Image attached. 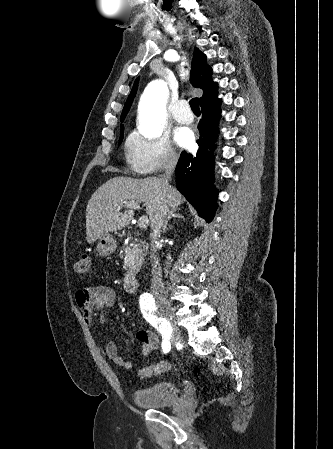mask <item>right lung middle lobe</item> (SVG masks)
Wrapping results in <instances>:
<instances>
[{
	"label": "right lung middle lobe",
	"mask_w": 333,
	"mask_h": 449,
	"mask_svg": "<svg viewBox=\"0 0 333 449\" xmlns=\"http://www.w3.org/2000/svg\"><path fill=\"white\" fill-rule=\"evenodd\" d=\"M124 118L121 119V121H123ZM121 135H120V140H119V144H121L122 140H123V126L121 125Z\"/></svg>",
	"instance_id": "obj_1"
}]
</instances>
